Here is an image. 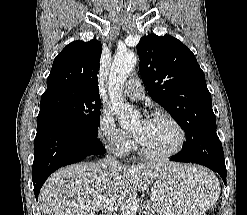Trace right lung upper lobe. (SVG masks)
<instances>
[{
    "instance_id": "obj_1",
    "label": "right lung upper lobe",
    "mask_w": 247,
    "mask_h": 215,
    "mask_svg": "<svg viewBox=\"0 0 247 215\" xmlns=\"http://www.w3.org/2000/svg\"><path fill=\"white\" fill-rule=\"evenodd\" d=\"M101 52L102 46L97 40L68 44L53 61L46 91L71 89L99 96L97 74Z\"/></svg>"
}]
</instances>
